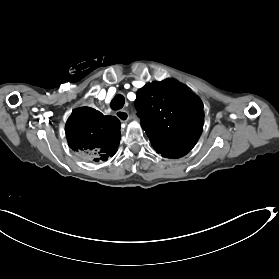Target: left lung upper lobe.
Segmentation results:
<instances>
[{
  "label": "left lung upper lobe",
  "instance_id": "left-lung-upper-lobe-1",
  "mask_svg": "<svg viewBox=\"0 0 279 279\" xmlns=\"http://www.w3.org/2000/svg\"><path fill=\"white\" fill-rule=\"evenodd\" d=\"M135 107L153 148L163 157L180 158L197 143L203 128V107L174 80L146 84L136 93Z\"/></svg>",
  "mask_w": 279,
  "mask_h": 279
}]
</instances>
